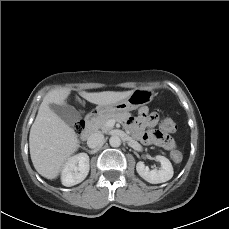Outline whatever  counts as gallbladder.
I'll return each mask as SVG.
<instances>
[{"mask_svg": "<svg viewBox=\"0 0 229 229\" xmlns=\"http://www.w3.org/2000/svg\"><path fill=\"white\" fill-rule=\"evenodd\" d=\"M49 106L69 126H73L80 120L79 113L71 105L50 104Z\"/></svg>", "mask_w": 229, "mask_h": 229, "instance_id": "bac80fb5", "label": "gallbladder"}]
</instances>
